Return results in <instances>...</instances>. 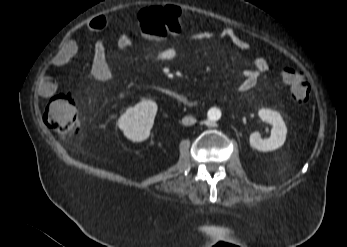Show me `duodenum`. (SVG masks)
Here are the masks:
<instances>
[{"mask_svg":"<svg viewBox=\"0 0 347 247\" xmlns=\"http://www.w3.org/2000/svg\"><path fill=\"white\" fill-rule=\"evenodd\" d=\"M169 96L174 99L175 101H177L178 103L184 105V106H189V105H193L195 103L194 100L189 99L188 97H186L184 94L176 92V91H172Z\"/></svg>","mask_w":347,"mask_h":247,"instance_id":"obj_1","label":"duodenum"}]
</instances>
